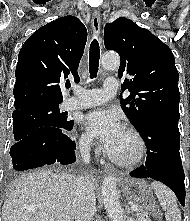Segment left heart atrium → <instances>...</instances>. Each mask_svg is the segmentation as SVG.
<instances>
[{
	"instance_id": "obj_1",
	"label": "left heart atrium",
	"mask_w": 190,
	"mask_h": 221,
	"mask_svg": "<svg viewBox=\"0 0 190 221\" xmlns=\"http://www.w3.org/2000/svg\"><path fill=\"white\" fill-rule=\"evenodd\" d=\"M82 123L85 129L97 137L108 149L119 137L123 127L119 116L109 110L97 109L87 113Z\"/></svg>"
}]
</instances>
